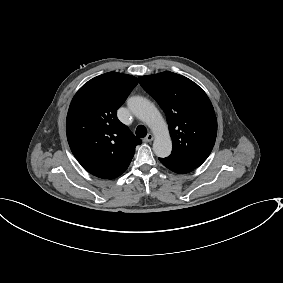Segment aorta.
Wrapping results in <instances>:
<instances>
[{"label":"aorta","mask_w":283,"mask_h":283,"mask_svg":"<svg viewBox=\"0 0 283 283\" xmlns=\"http://www.w3.org/2000/svg\"><path fill=\"white\" fill-rule=\"evenodd\" d=\"M127 104L130 111L152 130L155 136L154 153L161 158L168 157L172 151V141L168 125L158 109L148 99L139 96L129 98Z\"/></svg>","instance_id":"762f6f07"}]
</instances>
